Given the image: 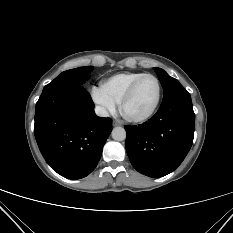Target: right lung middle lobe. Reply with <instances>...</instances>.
Returning a JSON list of instances; mask_svg holds the SVG:
<instances>
[{
	"instance_id": "right-lung-middle-lobe-1",
	"label": "right lung middle lobe",
	"mask_w": 233,
	"mask_h": 233,
	"mask_svg": "<svg viewBox=\"0 0 233 233\" xmlns=\"http://www.w3.org/2000/svg\"><path fill=\"white\" fill-rule=\"evenodd\" d=\"M93 70V66L79 67L62 72L52 82L44 87L43 90L54 89L64 86L82 85L85 83Z\"/></svg>"
}]
</instances>
